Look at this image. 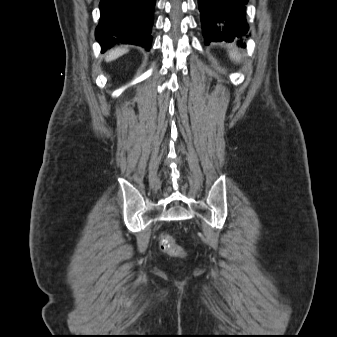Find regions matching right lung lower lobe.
Returning <instances> with one entry per match:
<instances>
[{
  "instance_id": "obj_1",
  "label": "right lung lower lobe",
  "mask_w": 337,
  "mask_h": 337,
  "mask_svg": "<svg viewBox=\"0 0 337 337\" xmlns=\"http://www.w3.org/2000/svg\"><path fill=\"white\" fill-rule=\"evenodd\" d=\"M95 36L102 52L116 44H133L149 50L155 0H101Z\"/></svg>"
}]
</instances>
